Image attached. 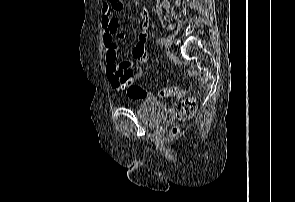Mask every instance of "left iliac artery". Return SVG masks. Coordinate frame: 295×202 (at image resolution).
Segmentation results:
<instances>
[{
	"mask_svg": "<svg viewBox=\"0 0 295 202\" xmlns=\"http://www.w3.org/2000/svg\"><path fill=\"white\" fill-rule=\"evenodd\" d=\"M158 42H159L160 44H164V42H165V39H164V38H162V37H160V38L158 39Z\"/></svg>",
	"mask_w": 295,
	"mask_h": 202,
	"instance_id": "44dca946",
	"label": "left iliac artery"
}]
</instances>
